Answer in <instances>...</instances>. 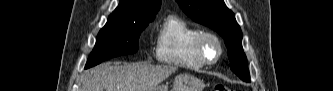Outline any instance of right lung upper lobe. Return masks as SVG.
<instances>
[{
  "mask_svg": "<svg viewBox=\"0 0 333 91\" xmlns=\"http://www.w3.org/2000/svg\"><path fill=\"white\" fill-rule=\"evenodd\" d=\"M160 5L161 0H121L118 7L109 16L108 22L155 18Z\"/></svg>",
  "mask_w": 333,
  "mask_h": 91,
  "instance_id": "cb5924a9",
  "label": "right lung upper lobe"
}]
</instances>
